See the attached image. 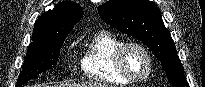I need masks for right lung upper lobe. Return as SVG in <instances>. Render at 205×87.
<instances>
[{
	"instance_id": "obj_1",
	"label": "right lung upper lobe",
	"mask_w": 205,
	"mask_h": 87,
	"mask_svg": "<svg viewBox=\"0 0 205 87\" xmlns=\"http://www.w3.org/2000/svg\"><path fill=\"white\" fill-rule=\"evenodd\" d=\"M82 16L83 10L78 4L60 2L36 20L32 41L67 36Z\"/></svg>"
}]
</instances>
